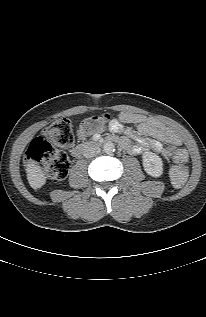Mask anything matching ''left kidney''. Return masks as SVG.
Returning a JSON list of instances; mask_svg holds the SVG:
<instances>
[{
  "label": "left kidney",
  "mask_w": 206,
  "mask_h": 317,
  "mask_svg": "<svg viewBox=\"0 0 206 317\" xmlns=\"http://www.w3.org/2000/svg\"><path fill=\"white\" fill-rule=\"evenodd\" d=\"M162 159L152 152L143 155V167L147 174L152 177H160L163 173Z\"/></svg>",
  "instance_id": "left-kidney-1"
}]
</instances>
